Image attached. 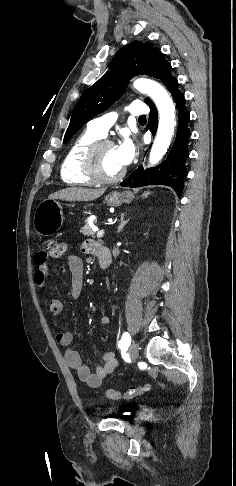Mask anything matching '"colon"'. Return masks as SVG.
Here are the masks:
<instances>
[{
	"label": "colon",
	"instance_id": "5ec220e1",
	"mask_svg": "<svg viewBox=\"0 0 236 486\" xmlns=\"http://www.w3.org/2000/svg\"><path fill=\"white\" fill-rule=\"evenodd\" d=\"M66 251V245L56 240H47L44 244V250L42 256L44 259L57 260L60 259ZM151 386L148 384L139 385L137 387H131L126 392H120L114 389H107L105 395L111 400L132 399L137 396L143 395L150 391Z\"/></svg>",
	"mask_w": 236,
	"mask_h": 486
}]
</instances>
